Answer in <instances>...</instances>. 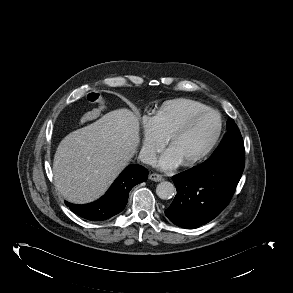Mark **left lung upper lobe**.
I'll use <instances>...</instances> for the list:
<instances>
[{"instance_id": "5c2ea615", "label": "left lung upper lobe", "mask_w": 293, "mask_h": 293, "mask_svg": "<svg viewBox=\"0 0 293 293\" xmlns=\"http://www.w3.org/2000/svg\"><path fill=\"white\" fill-rule=\"evenodd\" d=\"M227 130L228 132L225 134L219 147L213 152L211 157L207 159L204 163L216 161L220 157V154L222 153V148H225V147L235 148L238 146L244 147L242 136L233 119H229L227 121Z\"/></svg>"}]
</instances>
